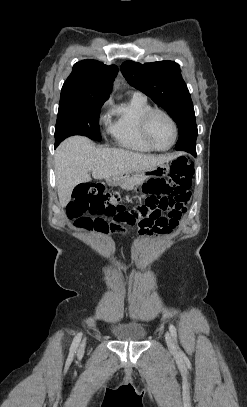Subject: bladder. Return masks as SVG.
Wrapping results in <instances>:
<instances>
[{"label": "bladder", "instance_id": "bladder-1", "mask_svg": "<svg viewBox=\"0 0 247 407\" xmlns=\"http://www.w3.org/2000/svg\"><path fill=\"white\" fill-rule=\"evenodd\" d=\"M109 330L116 340L121 341L140 342L147 336L145 327L138 323L113 324Z\"/></svg>", "mask_w": 247, "mask_h": 407}]
</instances>
